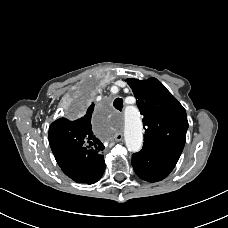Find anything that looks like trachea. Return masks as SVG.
Masks as SVG:
<instances>
[{
    "instance_id": "3493384b",
    "label": "trachea",
    "mask_w": 228,
    "mask_h": 228,
    "mask_svg": "<svg viewBox=\"0 0 228 228\" xmlns=\"http://www.w3.org/2000/svg\"><path fill=\"white\" fill-rule=\"evenodd\" d=\"M114 107L119 110V111H122L123 109V99L122 98H116L114 100V103H113Z\"/></svg>"
}]
</instances>
